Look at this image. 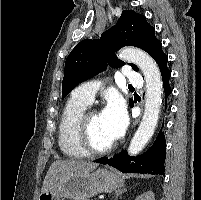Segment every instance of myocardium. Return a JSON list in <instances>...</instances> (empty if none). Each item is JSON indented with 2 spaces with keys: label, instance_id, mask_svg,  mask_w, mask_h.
I'll use <instances>...</instances> for the list:
<instances>
[{
  "label": "myocardium",
  "instance_id": "1",
  "mask_svg": "<svg viewBox=\"0 0 201 200\" xmlns=\"http://www.w3.org/2000/svg\"><path fill=\"white\" fill-rule=\"evenodd\" d=\"M97 114H99V111L96 109H86V111L80 116L76 127L77 144L87 155L106 154L111 152L116 146L115 142L104 148H95L90 144L88 140L89 121L92 116Z\"/></svg>",
  "mask_w": 201,
  "mask_h": 200
}]
</instances>
